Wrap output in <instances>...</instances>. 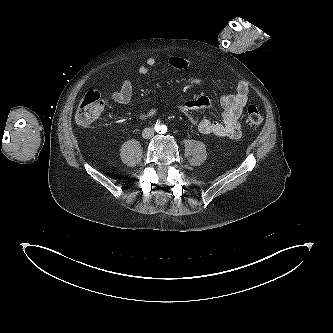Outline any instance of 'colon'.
Instances as JSON below:
<instances>
[{
	"instance_id": "obj_1",
	"label": "colon",
	"mask_w": 333,
	"mask_h": 333,
	"mask_svg": "<svg viewBox=\"0 0 333 333\" xmlns=\"http://www.w3.org/2000/svg\"><path fill=\"white\" fill-rule=\"evenodd\" d=\"M103 110V100L97 89L88 90L80 100L75 119L78 124L87 126L93 123ZM245 121L251 128H258L263 121L260 110L255 105H249L246 110Z\"/></svg>"
}]
</instances>
